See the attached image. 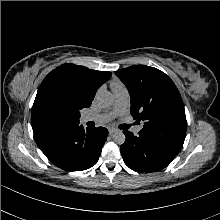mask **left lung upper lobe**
<instances>
[{
    "label": "left lung upper lobe",
    "instance_id": "left-lung-upper-lobe-1",
    "mask_svg": "<svg viewBox=\"0 0 220 220\" xmlns=\"http://www.w3.org/2000/svg\"><path fill=\"white\" fill-rule=\"evenodd\" d=\"M115 74L127 87L131 97V114L144 122L139 132L179 152L186 135V115L180 93L162 71L135 65Z\"/></svg>",
    "mask_w": 220,
    "mask_h": 220
}]
</instances>
